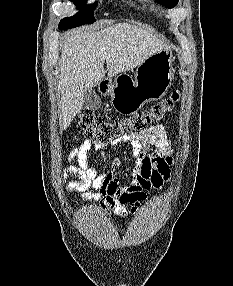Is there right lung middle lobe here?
<instances>
[{
    "label": "right lung middle lobe",
    "mask_w": 233,
    "mask_h": 286,
    "mask_svg": "<svg viewBox=\"0 0 233 286\" xmlns=\"http://www.w3.org/2000/svg\"><path fill=\"white\" fill-rule=\"evenodd\" d=\"M76 4L77 8L81 11L78 12L75 16L64 18L59 23V29H67L77 27L83 24H91L95 21V18L92 14L93 9L96 7V3L85 7V2L87 0H70Z\"/></svg>",
    "instance_id": "1"
}]
</instances>
